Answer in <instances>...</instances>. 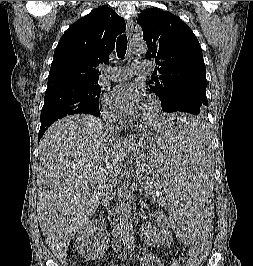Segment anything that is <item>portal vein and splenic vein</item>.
Segmentation results:
<instances>
[{"instance_id": "18ae733b", "label": "portal vein and splenic vein", "mask_w": 253, "mask_h": 266, "mask_svg": "<svg viewBox=\"0 0 253 266\" xmlns=\"http://www.w3.org/2000/svg\"><path fill=\"white\" fill-rule=\"evenodd\" d=\"M144 189H145V191H146V194H149V192H148V189H149V187H144Z\"/></svg>"}]
</instances>
